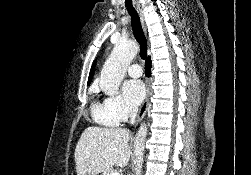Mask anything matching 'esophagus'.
Instances as JSON below:
<instances>
[{
    "instance_id": "1",
    "label": "esophagus",
    "mask_w": 251,
    "mask_h": 175,
    "mask_svg": "<svg viewBox=\"0 0 251 175\" xmlns=\"http://www.w3.org/2000/svg\"><path fill=\"white\" fill-rule=\"evenodd\" d=\"M140 19H141L142 27L145 29L144 17L142 15V13H140ZM145 85H146V96H145L144 101L142 102V105L140 106V109H139V112H138V117H137L138 120L143 118L145 116L146 112L148 111L149 103H150V96L152 94V92H151V81H150L149 78L146 79Z\"/></svg>"
}]
</instances>
